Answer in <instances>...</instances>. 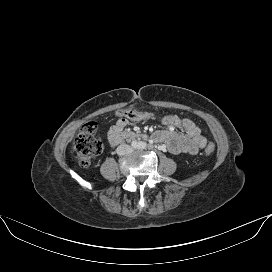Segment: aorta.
Instances as JSON below:
<instances>
[{"mask_svg":"<svg viewBox=\"0 0 272 272\" xmlns=\"http://www.w3.org/2000/svg\"><path fill=\"white\" fill-rule=\"evenodd\" d=\"M134 147H138L139 146V142H136L133 144Z\"/></svg>","mask_w":272,"mask_h":272,"instance_id":"aorta-1","label":"aorta"}]
</instances>
